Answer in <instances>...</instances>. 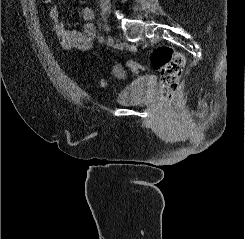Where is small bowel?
I'll list each match as a JSON object with an SVG mask.
<instances>
[{
    "mask_svg": "<svg viewBox=\"0 0 245 239\" xmlns=\"http://www.w3.org/2000/svg\"><path fill=\"white\" fill-rule=\"evenodd\" d=\"M80 14L85 21L82 31H70L66 29L58 6L53 5L49 10L57 44L64 50L88 51L93 47L96 29L91 21L94 18V11L91 6L85 5L81 8Z\"/></svg>",
    "mask_w": 245,
    "mask_h": 239,
    "instance_id": "small-bowel-1",
    "label": "small bowel"
}]
</instances>
